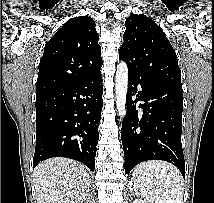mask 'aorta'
<instances>
[{"label": "aorta", "instance_id": "obj_1", "mask_svg": "<svg viewBox=\"0 0 214 203\" xmlns=\"http://www.w3.org/2000/svg\"><path fill=\"white\" fill-rule=\"evenodd\" d=\"M128 90V67L125 62L117 65L115 76L116 107L118 115L123 119L126 115V97Z\"/></svg>", "mask_w": 214, "mask_h": 203}]
</instances>
